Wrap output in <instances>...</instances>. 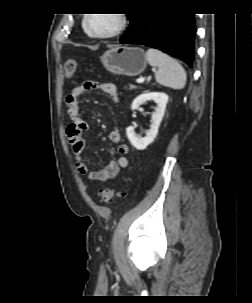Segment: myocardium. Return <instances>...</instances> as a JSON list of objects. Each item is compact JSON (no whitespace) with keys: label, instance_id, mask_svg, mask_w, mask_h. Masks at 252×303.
Returning <instances> with one entry per match:
<instances>
[{"label":"myocardium","instance_id":"obj_1","mask_svg":"<svg viewBox=\"0 0 252 303\" xmlns=\"http://www.w3.org/2000/svg\"><path fill=\"white\" fill-rule=\"evenodd\" d=\"M116 16L117 22L116 25L105 32H93L89 29L88 27V21L90 18V15H87L84 17L83 21H82V28L84 29V31L86 32V34L91 37V38H95V39H107V38H111L114 37L118 34H120L126 27L127 25V18L125 14H113Z\"/></svg>","mask_w":252,"mask_h":303}]
</instances>
